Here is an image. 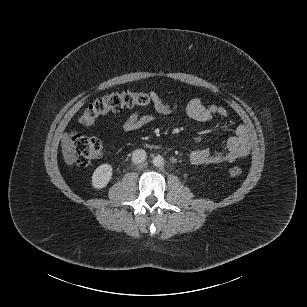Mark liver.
<instances>
[{
    "label": "liver",
    "instance_id": "6515ba94",
    "mask_svg": "<svg viewBox=\"0 0 307 307\" xmlns=\"http://www.w3.org/2000/svg\"><path fill=\"white\" fill-rule=\"evenodd\" d=\"M62 154L66 164L72 165L76 160V146L67 133L61 137Z\"/></svg>",
    "mask_w": 307,
    "mask_h": 307
}]
</instances>
